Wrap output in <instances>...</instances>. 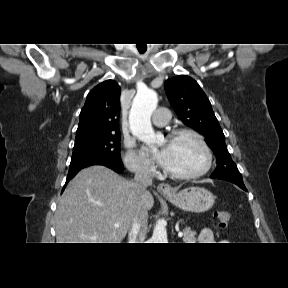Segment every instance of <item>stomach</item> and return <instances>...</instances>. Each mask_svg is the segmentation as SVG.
<instances>
[{
	"label": "stomach",
	"mask_w": 288,
	"mask_h": 288,
	"mask_svg": "<svg viewBox=\"0 0 288 288\" xmlns=\"http://www.w3.org/2000/svg\"><path fill=\"white\" fill-rule=\"evenodd\" d=\"M164 197L176 207L196 213L209 210L215 202V196L203 187H188Z\"/></svg>",
	"instance_id": "0dacf381"
}]
</instances>
